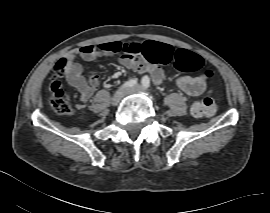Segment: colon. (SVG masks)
<instances>
[{
	"instance_id": "obj_1",
	"label": "colon",
	"mask_w": 270,
	"mask_h": 213,
	"mask_svg": "<svg viewBox=\"0 0 270 213\" xmlns=\"http://www.w3.org/2000/svg\"><path fill=\"white\" fill-rule=\"evenodd\" d=\"M105 49L109 53L115 54H128L132 56H141L148 54V50L142 47L138 43H127L122 41H116L108 43L105 45ZM174 66L183 72H194L198 70L201 66L202 58L192 52L179 50L177 54L172 59ZM207 78L213 77V72L211 70H206L204 72ZM60 74L54 72L53 79L54 82L51 86V94L49 96V104L58 114H69L72 111L71 103L69 101L67 93L61 86L58 80ZM216 111V104L212 97L204 96L197 99L191 107V112L197 117H209L213 115Z\"/></svg>"
}]
</instances>
